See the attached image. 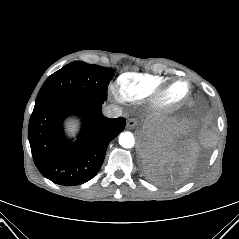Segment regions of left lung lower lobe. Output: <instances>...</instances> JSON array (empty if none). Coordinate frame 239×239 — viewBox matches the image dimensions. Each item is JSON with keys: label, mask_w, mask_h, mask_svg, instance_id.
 <instances>
[{"label": "left lung lower lobe", "mask_w": 239, "mask_h": 239, "mask_svg": "<svg viewBox=\"0 0 239 239\" xmlns=\"http://www.w3.org/2000/svg\"><path fill=\"white\" fill-rule=\"evenodd\" d=\"M207 111L192 105L174 126L161 129L142 143L144 170L152 181L176 185L192 175L205 159L201 143L209 137Z\"/></svg>", "instance_id": "1"}]
</instances>
